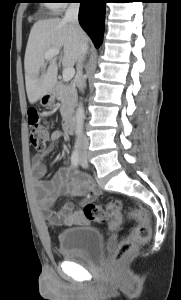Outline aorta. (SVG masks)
<instances>
[{"mask_svg": "<svg viewBox=\"0 0 181 300\" xmlns=\"http://www.w3.org/2000/svg\"><path fill=\"white\" fill-rule=\"evenodd\" d=\"M84 120H85V110L83 104L80 102L76 109L75 113V134L76 136H80L83 133L84 127Z\"/></svg>", "mask_w": 181, "mask_h": 300, "instance_id": "obj_1", "label": "aorta"}]
</instances>
